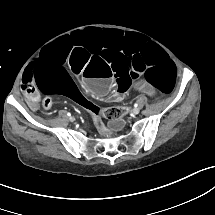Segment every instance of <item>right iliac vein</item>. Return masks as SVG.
<instances>
[{"mask_svg":"<svg viewBox=\"0 0 215 215\" xmlns=\"http://www.w3.org/2000/svg\"><path fill=\"white\" fill-rule=\"evenodd\" d=\"M74 120H75L74 117L69 118V121H71V122H73Z\"/></svg>","mask_w":215,"mask_h":215,"instance_id":"63e3f726","label":"right iliac vein"}]
</instances>
